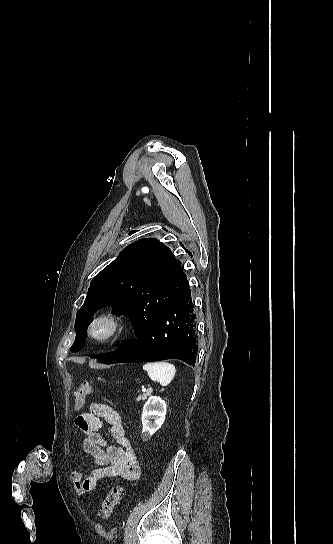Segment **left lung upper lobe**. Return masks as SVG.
I'll return each instance as SVG.
<instances>
[{"label": "left lung upper lobe", "instance_id": "5c2ea615", "mask_svg": "<svg viewBox=\"0 0 333 544\" xmlns=\"http://www.w3.org/2000/svg\"><path fill=\"white\" fill-rule=\"evenodd\" d=\"M187 285L181 262L163 243L148 238L128 245L92 280L77 312L71 351L82 348L84 332L99 308L112 305L113 313H126L135 326L155 318Z\"/></svg>", "mask_w": 333, "mask_h": 544}]
</instances>
